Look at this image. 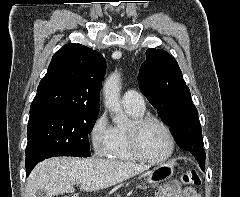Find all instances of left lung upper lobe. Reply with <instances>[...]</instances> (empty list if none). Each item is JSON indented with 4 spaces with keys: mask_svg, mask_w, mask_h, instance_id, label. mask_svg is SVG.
<instances>
[{
    "mask_svg": "<svg viewBox=\"0 0 240 197\" xmlns=\"http://www.w3.org/2000/svg\"><path fill=\"white\" fill-rule=\"evenodd\" d=\"M138 81L141 92L158 109L177 144L205 161L198 111L195 108L177 61L165 50L149 48Z\"/></svg>",
    "mask_w": 240,
    "mask_h": 197,
    "instance_id": "left-lung-upper-lobe-1",
    "label": "left lung upper lobe"
}]
</instances>
